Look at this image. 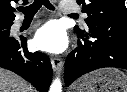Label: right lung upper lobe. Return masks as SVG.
<instances>
[{
  "instance_id": "cb5924a9",
  "label": "right lung upper lobe",
  "mask_w": 127,
  "mask_h": 92,
  "mask_svg": "<svg viewBox=\"0 0 127 92\" xmlns=\"http://www.w3.org/2000/svg\"><path fill=\"white\" fill-rule=\"evenodd\" d=\"M11 1L17 3L18 0H0V25L13 24L15 9L11 6ZM23 2L27 3V0H23Z\"/></svg>"
}]
</instances>
